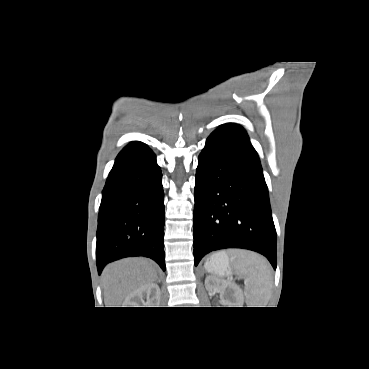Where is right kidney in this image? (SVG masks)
<instances>
[{"mask_svg":"<svg viewBox=\"0 0 369 369\" xmlns=\"http://www.w3.org/2000/svg\"><path fill=\"white\" fill-rule=\"evenodd\" d=\"M160 288L156 283H150L143 285L129 294L124 302L122 307H141L140 304H143L142 307H156L160 301ZM144 297H147V301L143 300Z\"/></svg>","mask_w":369,"mask_h":369,"instance_id":"right-kidney-1","label":"right kidney"}]
</instances>
